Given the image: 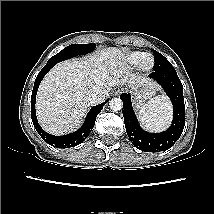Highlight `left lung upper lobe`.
Wrapping results in <instances>:
<instances>
[{
	"mask_svg": "<svg viewBox=\"0 0 214 214\" xmlns=\"http://www.w3.org/2000/svg\"><path fill=\"white\" fill-rule=\"evenodd\" d=\"M155 65L154 70L156 71H173L175 70L172 64L159 52L154 51Z\"/></svg>",
	"mask_w": 214,
	"mask_h": 214,
	"instance_id": "obj_1",
	"label": "left lung upper lobe"
}]
</instances>
